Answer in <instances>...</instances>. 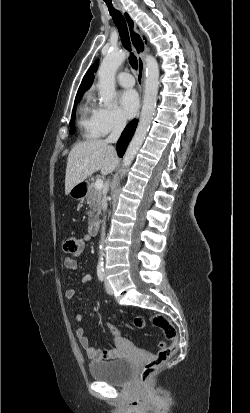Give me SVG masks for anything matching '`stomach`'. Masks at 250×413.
<instances>
[{
  "label": "stomach",
  "mask_w": 250,
  "mask_h": 413,
  "mask_svg": "<svg viewBox=\"0 0 250 413\" xmlns=\"http://www.w3.org/2000/svg\"><path fill=\"white\" fill-rule=\"evenodd\" d=\"M70 194L76 199L84 198V196L86 195V183L83 184V182H81L74 186L70 191Z\"/></svg>",
  "instance_id": "stomach-1"
}]
</instances>
